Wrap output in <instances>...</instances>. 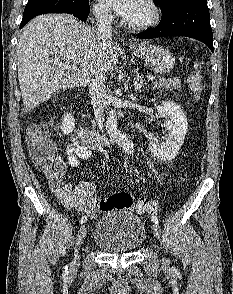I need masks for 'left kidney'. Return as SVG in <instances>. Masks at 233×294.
<instances>
[{"instance_id": "5707ae66", "label": "left kidney", "mask_w": 233, "mask_h": 294, "mask_svg": "<svg viewBox=\"0 0 233 294\" xmlns=\"http://www.w3.org/2000/svg\"><path fill=\"white\" fill-rule=\"evenodd\" d=\"M157 111L160 117L166 118L162 126L167 128L169 134L163 142L153 139L149 148L157 158L169 161L177 156L184 142L188 123L180 106L172 101H163Z\"/></svg>"}]
</instances>
